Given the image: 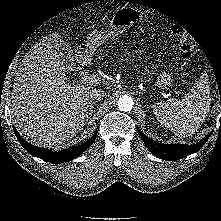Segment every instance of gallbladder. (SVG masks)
I'll list each match as a JSON object with an SVG mask.
<instances>
[{"mask_svg":"<svg viewBox=\"0 0 221 221\" xmlns=\"http://www.w3.org/2000/svg\"><path fill=\"white\" fill-rule=\"evenodd\" d=\"M53 49L58 60L62 63L66 70L73 71L75 63L71 46L61 39H54Z\"/></svg>","mask_w":221,"mask_h":221,"instance_id":"1","label":"gallbladder"}]
</instances>
